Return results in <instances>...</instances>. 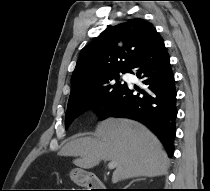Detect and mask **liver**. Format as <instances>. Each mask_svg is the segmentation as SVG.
<instances>
[{"mask_svg": "<svg viewBox=\"0 0 210 191\" xmlns=\"http://www.w3.org/2000/svg\"><path fill=\"white\" fill-rule=\"evenodd\" d=\"M62 156L80 157L73 163L84 169L102 160L115 161L112 182L134 177L164 175L169 159L157 137L144 125L128 119L109 118L98 124L95 137H81L68 142Z\"/></svg>", "mask_w": 210, "mask_h": 191, "instance_id": "1", "label": "liver"}]
</instances>
